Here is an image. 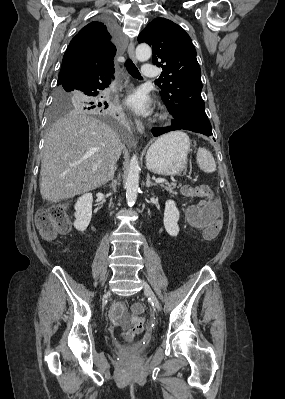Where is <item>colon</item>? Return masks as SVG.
Masks as SVG:
<instances>
[{
  "instance_id": "1",
  "label": "colon",
  "mask_w": 285,
  "mask_h": 399,
  "mask_svg": "<svg viewBox=\"0 0 285 399\" xmlns=\"http://www.w3.org/2000/svg\"><path fill=\"white\" fill-rule=\"evenodd\" d=\"M182 194L186 197L203 199L209 194V188L205 185H186L182 188ZM202 205L217 214L214 222L203 230V237L205 239H213L217 236L223 224L222 219L218 215L219 209L216 205H208L205 201L202 202ZM34 222L38 231L48 238L64 233L70 227L69 215L66 208L62 206L40 209L35 215ZM142 312V306L138 305L134 307L133 314L137 317V324L130 330L131 335H136L143 329L145 320L141 317Z\"/></svg>"
}]
</instances>
